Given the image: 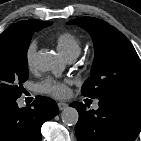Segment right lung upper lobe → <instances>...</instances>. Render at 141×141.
Listing matches in <instances>:
<instances>
[{"mask_svg": "<svg viewBox=\"0 0 141 141\" xmlns=\"http://www.w3.org/2000/svg\"><path fill=\"white\" fill-rule=\"evenodd\" d=\"M37 22H40V21H37V20H26V21L17 22L15 24L11 25L8 29H6L0 36L9 35V34L15 32L16 30H18V29H20L22 27H25V26H28L30 24L37 23Z\"/></svg>", "mask_w": 141, "mask_h": 141, "instance_id": "right-lung-upper-lobe-1", "label": "right lung upper lobe"}]
</instances>
